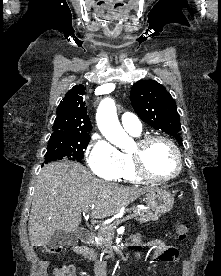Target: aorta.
<instances>
[{"mask_svg": "<svg viewBox=\"0 0 221 276\" xmlns=\"http://www.w3.org/2000/svg\"><path fill=\"white\" fill-rule=\"evenodd\" d=\"M97 125L103 136L119 148H124L130 140L119 123L114 100L105 98L99 104L96 114Z\"/></svg>", "mask_w": 221, "mask_h": 276, "instance_id": "aorta-1", "label": "aorta"}]
</instances>
